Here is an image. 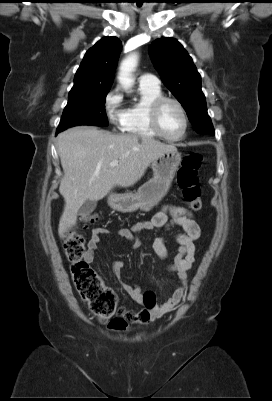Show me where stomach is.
<instances>
[{"label":"stomach","mask_w":272,"mask_h":401,"mask_svg":"<svg viewBox=\"0 0 272 401\" xmlns=\"http://www.w3.org/2000/svg\"><path fill=\"white\" fill-rule=\"evenodd\" d=\"M181 162V154L168 151L152 161L153 177L136 192L110 194L109 206L120 212L150 211L167 194Z\"/></svg>","instance_id":"obj_1"}]
</instances>
